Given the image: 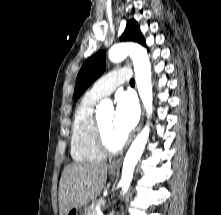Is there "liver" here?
Masks as SVG:
<instances>
[{
  "label": "liver",
  "mask_w": 221,
  "mask_h": 215,
  "mask_svg": "<svg viewBox=\"0 0 221 215\" xmlns=\"http://www.w3.org/2000/svg\"><path fill=\"white\" fill-rule=\"evenodd\" d=\"M107 168L105 163H74L65 167L59 184V214L95 199L106 183Z\"/></svg>",
  "instance_id": "1"
}]
</instances>
